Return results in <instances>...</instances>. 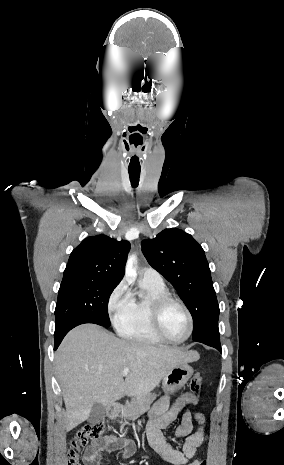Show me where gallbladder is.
Returning <instances> with one entry per match:
<instances>
[{"instance_id":"obj_1","label":"gallbladder","mask_w":284,"mask_h":465,"mask_svg":"<svg viewBox=\"0 0 284 465\" xmlns=\"http://www.w3.org/2000/svg\"><path fill=\"white\" fill-rule=\"evenodd\" d=\"M105 415L106 407H103V405H100V403H96L93 409H91V413L88 417V423H91V425H98V423L103 421Z\"/></svg>"}]
</instances>
